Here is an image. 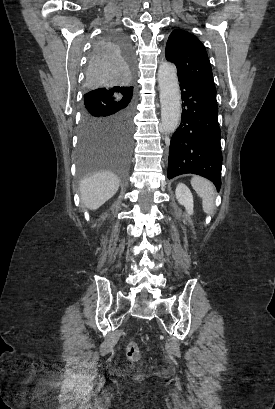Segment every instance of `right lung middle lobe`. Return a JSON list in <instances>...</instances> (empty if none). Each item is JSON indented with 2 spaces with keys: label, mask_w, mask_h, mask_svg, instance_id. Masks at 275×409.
<instances>
[{
  "label": "right lung middle lobe",
  "mask_w": 275,
  "mask_h": 409,
  "mask_svg": "<svg viewBox=\"0 0 275 409\" xmlns=\"http://www.w3.org/2000/svg\"><path fill=\"white\" fill-rule=\"evenodd\" d=\"M122 33L107 30L93 44L76 150L77 173L74 182L89 181V173H118L127 181L126 167L133 148V91L136 51ZM125 188L126 184H118Z\"/></svg>",
  "instance_id": "1"
}]
</instances>
